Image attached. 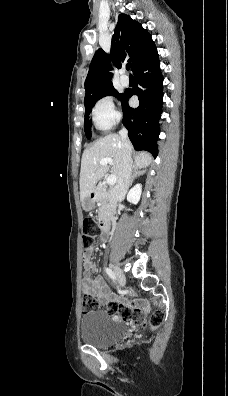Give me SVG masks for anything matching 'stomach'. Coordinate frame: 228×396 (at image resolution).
Returning <instances> with one entry per match:
<instances>
[{"label": "stomach", "instance_id": "1", "mask_svg": "<svg viewBox=\"0 0 228 396\" xmlns=\"http://www.w3.org/2000/svg\"><path fill=\"white\" fill-rule=\"evenodd\" d=\"M95 202H96V196L95 193L93 192L84 198V200L82 201V208L85 211H90L94 208Z\"/></svg>", "mask_w": 228, "mask_h": 396}]
</instances>
